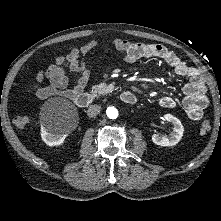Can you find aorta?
Wrapping results in <instances>:
<instances>
[{
    "mask_svg": "<svg viewBox=\"0 0 221 221\" xmlns=\"http://www.w3.org/2000/svg\"><path fill=\"white\" fill-rule=\"evenodd\" d=\"M106 114L110 119H116L118 117V110L114 107H108Z\"/></svg>",
    "mask_w": 221,
    "mask_h": 221,
    "instance_id": "aorta-1",
    "label": "aorta"
}]
</instances>
